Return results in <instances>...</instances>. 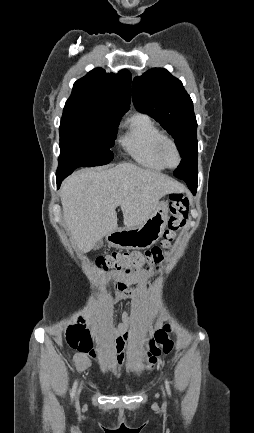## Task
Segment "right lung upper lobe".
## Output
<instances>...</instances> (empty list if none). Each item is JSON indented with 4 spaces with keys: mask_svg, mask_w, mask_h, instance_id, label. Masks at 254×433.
Masks as SVG:
<instances>
[{
    "mask_svg": "<svg viewBox=\"0 0 254 433\" xmlns=\"http://www.w3.org/2000/svg\"><path fill=\"white\" fill-rule=\"evenodd\" d=\"M131 102V74L121 70L118 74L101 68L90 71L74 83L65 107H93L105 110L120 120Z\"/></svg>",
    "mask_w": 254,
    "mask_h": 433,
    "instance_id": "1",
    "label": "right lung upper lobe"
}]
</instances>
